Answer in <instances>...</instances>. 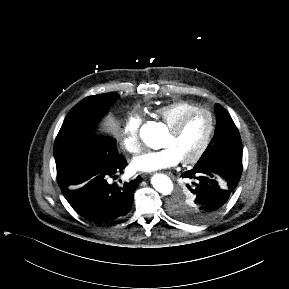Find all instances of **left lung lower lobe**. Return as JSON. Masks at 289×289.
Returning a JSON list of instances; mask_svg holds the SVG:
<instances>
[{"mask_svg":"<svg viewBox=\"0 0 289 289\" xmlns=\"http://www.w3.org/2000/svg\"><path fill=\"white\" fill-rule=\"evenodd\" d=\"M241 173L242 163L223 162L193 168L182 174L193 180V185L188 189L199 218L207 221L222 210L236 188Z\"/></svg>","mask_w":289,"mask_h":289,"instance_id":"left-lung-lower-lobe-1","label":"left lung lower lobe"}]
</instances>
